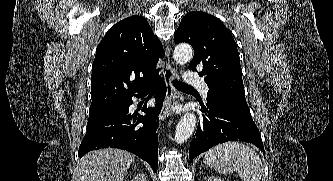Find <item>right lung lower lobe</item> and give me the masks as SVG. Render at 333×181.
Returning <instances> with one entry per match:
<instances>
[{"label":"right lung lower lobe","mask_w":333,"mask_h":181,"mask_svg":"<svg viewBox=\"0 0 333 181\" xmlns=\"http://www.w3.org/2000/svg\"><path fill=\"white\" fill-rule=\"evenodd\" d=\"M155 94L156 107L142 109L145 116L129 114V106L133 103L132 96L114 106L107 113L88 121L87 131L81 142L78 156L100 148H119L130 151L147 161L157 171L158 166V135L157 118L166 94V85L160 79L150 89ZM143 94L134 96L141 97ZM148 101V100H147Z\"/></svg>","instance_id":"obj_1"}]
</instances>
